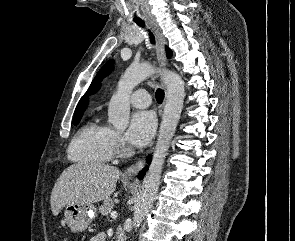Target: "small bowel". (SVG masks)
I'll return each mask as SVG.
<instances>
[{"label":"small bowel","mask_w":295,"mask_h":241,"mask_svg":"<svg viewBox=\"0 0 295 241\" xmlns=\"http://www.w3.org/2000/svg\"><path fill=\"white\" fill-rule=\"evenodd\" d=\"M105 235L102 232L96 233L89 241H104Z\"/></svg>","instance_id":"obj_1"}]
</instances>
